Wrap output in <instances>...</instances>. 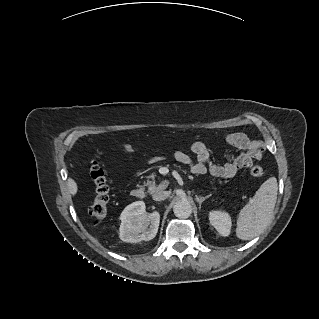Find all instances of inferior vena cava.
I'll return each mask as SVG.
<instances>
[{
    "label": "inferior vena cava",
    "mask_w": 319,
    "mask_h": 319,
    "mask_svg": "<svg viewBox=\"0 0 319 319\" xmlns=\"http://www.w3.org/2000/svg\"><path fill=\"white\" fill-rule=\"evenodd\" d=\"M169 197V192L167 191H157L152 195L153 200L162 201Z\"/></svg>",
    "instance_id": "1"
}]
</instances>
